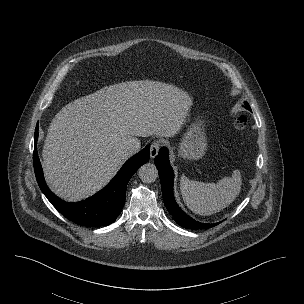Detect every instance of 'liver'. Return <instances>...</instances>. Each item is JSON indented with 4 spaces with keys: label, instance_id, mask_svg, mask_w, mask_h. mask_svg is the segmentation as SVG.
Here are the masks:
<instances>
[{
    "label": "liver",
    "instance_id": "obj_1",
    "mask_svg": "<svg viewBox=\"0 0 304 304\" xmlns=\"http://www.w3.org/2000/svg\"><path fill=\"white\" fill-rule=\"evenodd\" d=\"M191 105L187 92L150 80L106 86L68 103L53 118L45 139L47 184L67 200L94 194L130 157L128 141L175 136Z\"/></svg>",
    "mask_w": 304,
    "mask_h": 304
}]
</instances>
